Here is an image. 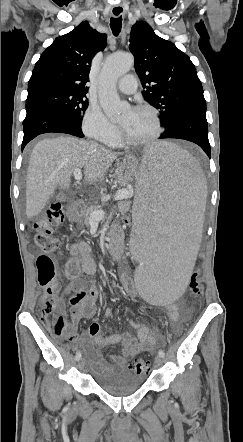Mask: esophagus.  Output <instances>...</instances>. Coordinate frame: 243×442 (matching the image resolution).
<instances>
[{
    "label": "esophagus",
    "mask_w": 243,
    "mask_h": 442,
    "mask_svg": "<svg viewBox=\"0 0 243 442\" xmlns=\"http://www.w3.org/2000/svg\"><path fill=\"white\" fill-rule=\"evenodd\" d=\"M111 14L113 17L118 18L119 16L124 14V8L120 5H115L111 9Z\"/></svg>",
    "instance_id": "34e87169"
}]
</instances>
